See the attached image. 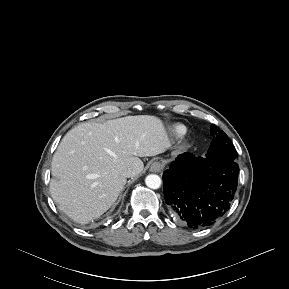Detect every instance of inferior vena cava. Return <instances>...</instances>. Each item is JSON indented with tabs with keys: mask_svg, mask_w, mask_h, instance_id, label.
Returning a JSON list of instances; mask_svg holds the SVG:
<instances>
[{
	"mask_svg": "<svg viewBox=\"0 0 289 289\" xmlns=\"http://www.w3.org/2000/svg\"><path fill=\"white\" fill-rule=\"evenodd\" d=\"M123 176L124 177H131L132 176V170L129 168V169H126L125 171H123Z\"/></svg>",
	"mask_w": 289,
	"mask_h": 289,
	"instance_id": "obj_1",
	"label": "inferior vena cava"
}]
</instances>
